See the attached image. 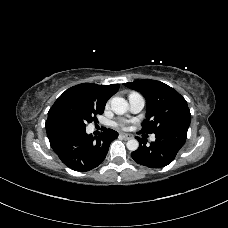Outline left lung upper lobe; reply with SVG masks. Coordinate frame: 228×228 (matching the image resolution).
<instances>
[{"label":"left lung upper lobe","mask_w":228,"mask_h":228,"mask_svg":"<svg viewBox=\"0 0 228 228\" xmlns=\"http://www.w3.org/2000/svg\"><path fill=\"white\" fill-rule=\"evenodd\" d=\"M145 97L146 119L141 133H158L170 128L188 129L191 114L186 100L172 87L156 80L144 79L124 83Z\"/></svg>","instance_id":"left-lung-upper-lobe-1"}]
</instances>
